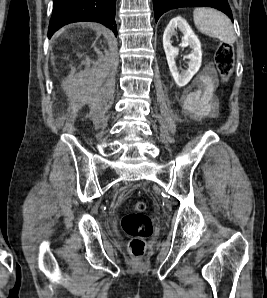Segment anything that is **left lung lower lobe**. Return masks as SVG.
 I'll list each match as a JSON object with an SVG mask.
<instances>
[{
    "mask_svg": "<svg viewBox=\"0 0 267 298\" xmlns=\"http://www.w3.org/2000/svg\"><path fill=\"white\" fill-rule=\"evenodd\" d=\"M155 21L166 11L181 7H213L224 12L232 19L231 10L227 0H153Z\"/></svg>",
    "mask_w": 267,
    "mask_h": 298,
    "instance_id": "obj_1",
    "label": "left lung lower lobe"
}]
</instances>
